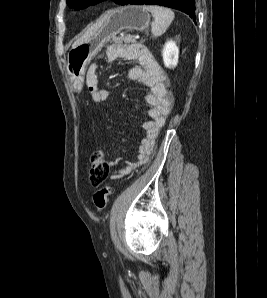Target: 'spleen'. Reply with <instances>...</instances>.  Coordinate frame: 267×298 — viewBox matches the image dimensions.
I'll return each mask as SVG.
<instances>
[{
	"label": "spleen",
	"instance_id": "1",
	"mask_svg": "<svg viewBox=\"0 0 267 298\" xmlns=\"http://www.w3.org/2000/svg\"><path fill=\"white\" fill-rule=\"evenodd\" d=\"M143 7L146 11L150 12L154 18L151 25L152 34L155 37L163 35L174 20V12L169 8L156 5Z\"/></svg>",
	"mask_w": 267,
	"mask_h": 298
}]
</instances>
